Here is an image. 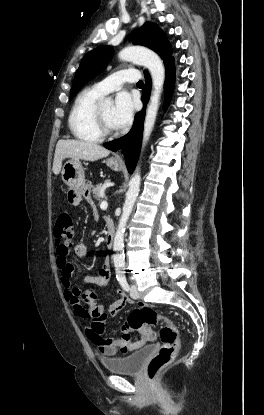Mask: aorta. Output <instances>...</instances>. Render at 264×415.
I'll return each mask as SVG.
<instances>
[{"label": "aorta", "instance_id": "1", "mask_svg": "<svg viewBox=\"0 0 264 415\" xmlns=\"http://www.w3.org/2000/svg\"><path fill=\"white\" fill-rule=\"evenodd\" d=\"M118 57L122 61H132L145 66L146 68H148L151 74L153 90L147 107L144 122V147L147 141L149 140L157 116L160 94L165 79V69L163 66V62L155 52L139 46H131L124 48L119 52ZM100 103L104 106L112 105V101L109 98H102L100 100ZM140 181L141 177L139 173V168H137L129 182V189L126 193V199L123 205L122 215L119 220V224L114 237L113 251L115 252V254L113 255V261L115 268L118 269L123 268L125 265V257L123 253L124 232L127 221L129 219V216L132 212L134 203L139 193Z\"/></svg>", "mask_w": 264, "mask_h": 415}]
</instances>
